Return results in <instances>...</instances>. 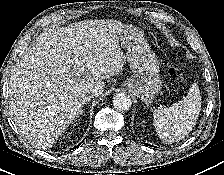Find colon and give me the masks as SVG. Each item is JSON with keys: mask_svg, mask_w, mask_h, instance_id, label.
<instances>
[{"mask_svg": "<svg viewBox=\"0 0 224 175\" xmlns=\"http://www.w3.org/2000/svg\"><path fill=\"white\" fill-rule=\"evenodd\" d=\"M168 75L172 78H177L179 76V71L175 67H171L168 69Z\"/></svg>", "mask_w": 224, "mask_h": 175, "instance_id": "obj_1", "label": "colon"}]
</instances>
